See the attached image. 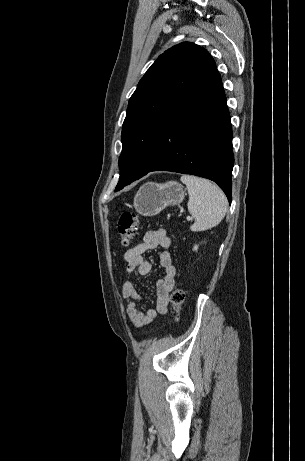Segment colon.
<instances>
[{
    "mask_svg": "<svg viewBox=\"0 0 305 461\" xmlns=\"http://www.w3.org/2000/svg\"><path fill=\"white\" fill-rule=\"evenodd\" d=\"M141 221L139 217L132 212H123L118 221V235L124 246H128L134 239L137 229L140 227ZM185 300V292L182 288H175L170 294V301L175 311L176 317L181 312L182 305Z\"/></svg>",
    "mask_w": 305,
    "mask_h": 461,
    "instance_id": "1",
    "label": "colon"
}]
</instances>
